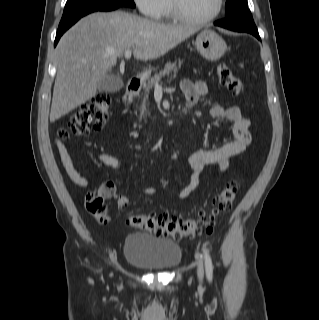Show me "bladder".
<instances>
[{
	"instance_id": "obj_1",
	"label": "bladder",
	"mask_w": 319,
	"mask_h": 320,
	"mask_svg": "<svg viewBox=\"0 0 319 320\" xmlns=\"http://www.w3.org/2000/svg\"><path fill=\"white\" fill-rule=\"evenodd\" d=\"M127 262L149 271H165L176 267L182 259L179 244L171 238L130 233L124 243Z\"/></svg>"
}]
</instances>
